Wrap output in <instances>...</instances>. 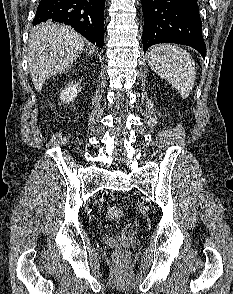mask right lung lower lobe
I'll use <instances>...</instances> for the list:
<instances>
[{
    "mask_svg": "<svg viewBox=\"0 0 233 294\" xmlns=\"http://www.w3.org/2000/svg\"><path fill=\"white\" fill-rule=\"evenodd\" d=\"M105 0H41L33 25L51 20L70 25L91 43L104 44Z\"/></svg>",
    "mask_w": 233,
    "mask_h": 294,
    "instance_id": "obj_1",
    "label": "right lung lower lobe"
}]
</instances>
